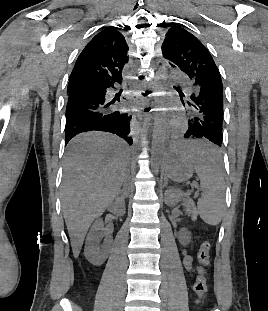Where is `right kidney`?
Here are the masks:
<instances>
[{
	"label": "right kidney",
	"instance_id": "right-kidney-1",
	"mask_svg": "<svg viewBox=\"0 0 268 311\" xmlns=\"http://www.w3.org/2000/svg\"><path fill=\"white\" fill-rule=\"evenodd\" d=\"M109 210L116 215H123L125 212L124 202L117 198L116 201L109 207ZM103 221L98 219L92 225L85 242L84 255L86 259L93 265H102L108 257L111 239H105L100 246V240L104 237Z\"/></svg>",
	"mask_w": 268,
	"mask_h": 311
}]
</instances>
